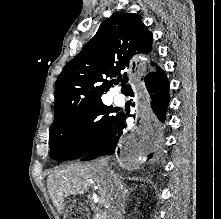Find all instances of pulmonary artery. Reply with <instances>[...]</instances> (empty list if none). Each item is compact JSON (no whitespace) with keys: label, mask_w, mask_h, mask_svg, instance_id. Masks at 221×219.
I'll list each match as a JSON object with an SVG mask.
<instances>
[{"label":"pulmonary artery","mask_w":221,"mask_h":219,"mask_svg":"<svg viewBox=\"0 0 221 219\" xmlns=\"http://www.w3.org/2000/svg\"><path fill=\"white\" fill-rule=\"evenodd\" d=\"M113 101H114V103L117 104V105H121V104L124 103V99H123V97H122L121 95H115V96L113 97Z\"/></svg>","instance_id":"1"}]
</instances>
